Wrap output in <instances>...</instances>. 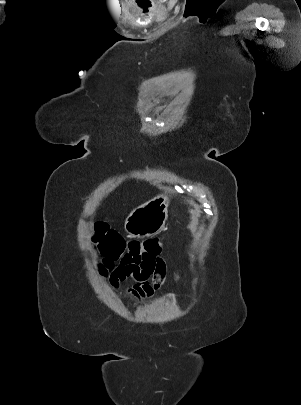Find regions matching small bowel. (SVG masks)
I'll use <instances>...</instances> for the list:
<instances>
[{
  "label": "small bowel",
  "mask_w": 301,
  "mask_h": 405,
  "mask_svg": "<svg viewBox=\"0 0 301 405\" xmlns=\"http://www.w3.org/2000/svg\"><path fill=\"white\" fill-rule=\"evenodd\" d=\"M99 270L115 289L119 288L120 283L127 278H134L135 283L126 290V294L138 301H143L153 297L162 289L166 265L160 252L146 257L127 256L120 259L116 266H108L102 262L99 264ZM179 278L180 276L176 275L175 282H178Z\"/></svg>",
  "instance_id": "1"
}]
</instances>
